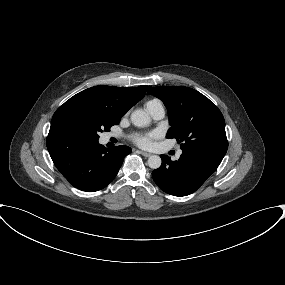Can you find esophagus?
Instances as JSON below:
<instances>
[{
    "instance_id": "34e87169",
    "label": "esophagus",
    "mask_w": 285,
    "mask_h": 285,
    "mask_svg": "<svg viewBox=\"0 0 285 285\" xmlns=\"http://www.w3.org/2000/svg\"><path fill=\"white\" fill-rule=\"evenodd\" d=\"M140 154H142V155L145 156V157H149V156L152 155L151 153L145 152V151H140Z\"/></svg>"
}]
</instances>
